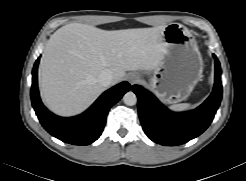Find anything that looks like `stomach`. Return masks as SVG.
I'll return each mask as SVG.
<instances>
[{
  "mask_svg": "<svg viewBox=\"0 0 246 181\" xmlns=\"http://www.w3.org/2000/svg\"><path fill=\"white\" fill-rule=\"evenodd\" d=\"M166 52L150 78L149 87L167 104L181 102L202 77L203 61L188 29L180 24L165 27Z\"/></svg>",
  "mask_w": 246,
  "mask_h": 181,
  "instance_id": "stomach-1",
  "label": "stomach"
}]
</instances>
